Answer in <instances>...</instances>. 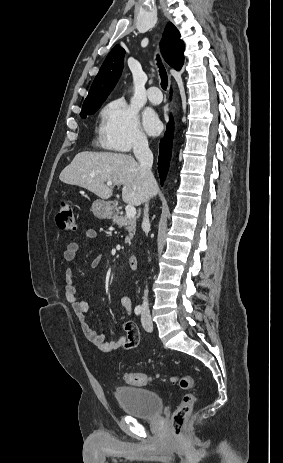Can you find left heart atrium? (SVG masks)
<instances>
[{"label":"left heart atrium","mask_w":283,"mask_h":463,"mask_svg":"<svg viewBox=\"0 0 283 463\" xmlns=\"http://www.w3.org/2000/svg\"><path fill=\"white\" fill-rule=\"evenodd\" d=\"M143 125L150 135H157L161 131V123L153 112H146L143 117Z\"/></svg>","instance_id":"1"}]
</instances>
